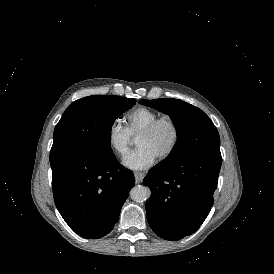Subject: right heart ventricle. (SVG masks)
<instances>
[{
	"label": "right heart ventricle",
	"mask_w": 274,
	"mask_h": 274,
	"mask_svg": "<svg viewBox=\"0 0 274 274\" xmlns=\"http://www.w3.org/2000/svg\"><path fill=\"white\" fill-rule=\"evenodd\" d=\"M160 116L154 110L140 109L125 117V129L129 136H136Z\"/></svg>",
	"instance_id": "right-heart-ventricle-1"
}]
</instances>
